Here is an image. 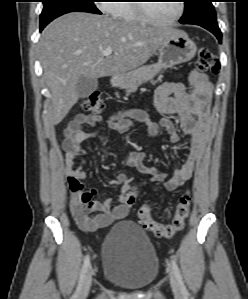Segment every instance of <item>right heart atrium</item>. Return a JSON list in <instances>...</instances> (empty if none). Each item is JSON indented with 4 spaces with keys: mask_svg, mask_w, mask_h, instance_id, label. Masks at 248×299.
Masks as SVG:
<instances>
[{
    "mask_svg": "<svg viewBox=\"0 0 248 299\" xmlns=\"http://www.w3.org/2000/svg\"><path fill=\"white\" fill-rule=\"evenodd\" d=\"M99 8L101 11L106 12V13H110V14H114L115 11V7L117 2H114L112 0H102L99 1Z\"/></svg>",
    "mask_w": 248,
    "mask_h": 299,
    "instance_id": "1",
    "label": "right heart atrium"
}]
</instances>
